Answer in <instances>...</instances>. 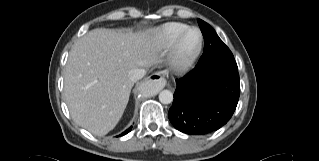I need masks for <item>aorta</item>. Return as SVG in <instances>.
<instances>
[{
  "label": "aorta",
  "instance_id": "1",
  "mask_svg": "<svg viewBox=\"0 0 319 161\" xmlns=\"http://www.w3.org/2000/svg\"><path fill=\"white\" fill-rule=\"evenodd\" d=\"M159 101L162 104H170L173 101V94L169 90H163L159 93Z\"/></svg>",
  "mask_w": 319,
  "mask_h": 161
}]
</instances>
